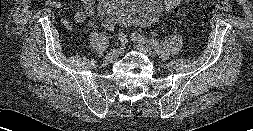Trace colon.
<instances>
[{
    "label": "colon",
    "mask_w": 253,
    "mask_h": 131,
    "mask_svg": "<svg viewBox=\"0 0 253 131\" xmlns=\"http://www.w3.org/2000/svg\"><path fill=\"white\" fill-rule=\"evenodd\" d=\"M182 1L183 0H163L165 9L167 11L176 10L180 6ZM213 10L222 11V12H231L232 6L228 0H217L213 6ZM102 25L109 33L115 32V28L113 24L107 21H104Z\"/></svg>",
    "instance_id": "colon-1"
}]
</instances>
